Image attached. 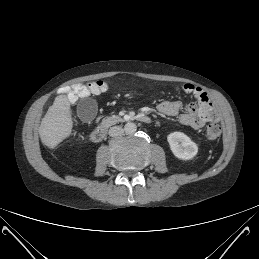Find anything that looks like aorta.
Segmentation results:
<instances>
[{"label":"aorta","instance_id":"1","mask_svg":"<svg viewBox=\"0 0 259 259\" xmlns=\"http://www.w3.org/2000/svg\"><path fill=\"white\" fill-rule=\"evenodd\" d=\"M137 130V126L135 123L133 122H128L125 124L124 126V131L127 135H132L136 132Z\"/></svg>","mask_w":259,"mask_h":259}]
</instances>
